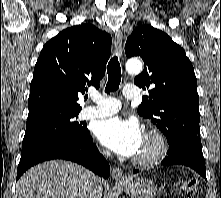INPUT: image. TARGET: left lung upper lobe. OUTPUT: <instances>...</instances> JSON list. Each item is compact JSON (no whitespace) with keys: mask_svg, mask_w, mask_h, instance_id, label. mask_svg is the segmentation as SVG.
I'll use <instances>...</instances> for the list:
<instances>
[{"mask_svg":"<svg viewBox=\"0 0 221 198\" xmlns=\"http://www.w3.org/2000/svg\"><path fill=\"white\" fill-rule=\"evenodd\" d=\"M125 53L144 61V70L134 83L150 90L138 113L157 125L169 145L182 141L201 143L197 79L184 49L166 33L140 26L127 39Z\"/></svg>","mask_w":221,"mask_h":198,"instance_id":"1","label":"left lung upper lobe"}]
</instances>
